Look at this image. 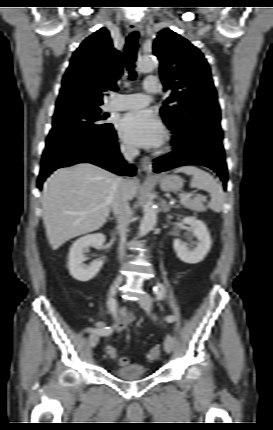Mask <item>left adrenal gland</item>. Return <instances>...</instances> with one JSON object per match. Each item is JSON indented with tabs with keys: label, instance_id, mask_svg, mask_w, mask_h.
<instances>
[{
	"label": "left adrenal gland",
	"instance_id": "obj_1",
	"mask_svg": "<svg viewBox=\"0 0 273 430\" xmlns=\"http://www.w3.org/2000/svg\"><path fill=\"white\" fill-rule=\"evenodd\" d=\"M161 210L164 212V213H166V212H168L169 210H170V208L172 207L170 204H167L166 203V201L165 200H162V203H161Z\"/></svg>",
	"mask_w": 273,
	"mask_h": 430
}]
</instances>
